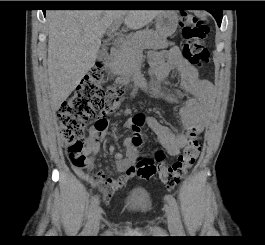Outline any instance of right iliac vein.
<instances>
[{
  "mask_svg": "<svg viewBox=\"0 0 265 245\" xmlns=\"http://www.w3.org/2000/svg\"><path fill=\"white\" fill-rule=\"evenodd\" d=\"M101 219V209L97 208L93 216L92 222L89 226V236H95L99 230Z\"/></svg>",
  "mask_w": 265,
  "mask_h": 245,
  "instance_id": "1",
  "label": "right iliac vein"
}]
</instances>
